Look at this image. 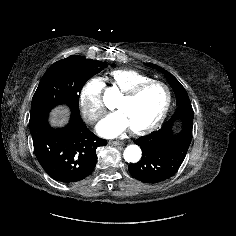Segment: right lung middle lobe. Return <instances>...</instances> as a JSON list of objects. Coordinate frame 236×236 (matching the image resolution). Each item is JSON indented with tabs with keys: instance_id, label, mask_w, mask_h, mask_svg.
Returning a JSON list of instances; mask_svg holds the SVG:
<instances>
[{
	"instance_id": "obj_1",
	"label": "right lung middle lobe",
	"mask_w": 236,
	"mask_h": 236,
	"mask_svg": "<svg viewBox=\"0 0 236 236\" xmlns=\"http://www.w3.org/2000/svg\"><path fill=\"white\" fill-rule=\"evenodd\" d=\"M105 62L70 56L51 65L43 75L32 98L30 116L48 114L66 104L72 115L80 116L79 94L90 77L103 70Z\"/></svg>"
}]
</instances>
